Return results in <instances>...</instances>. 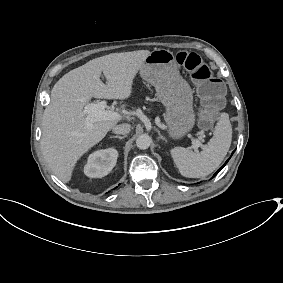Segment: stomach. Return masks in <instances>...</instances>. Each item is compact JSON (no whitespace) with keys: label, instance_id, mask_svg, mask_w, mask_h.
I'll return each mask as SVG.
<instances>
[{"label":"stomach","instance_id":"0dacf381","mask_svg":"<svg viewBox=\"0 0 283 283\" xmlns=\"http://www.w3.org/2000/svg\"><path fill=\"white\" fill-rule=\"evenodd\" d=\"M140 76L155 87L158 100L166 107L169 135L175 139L183 137L195 123L193 91L181 77L173 53L166 49L150 52Z\"/></svg>","mask_w":283,"mask_h":283}]
</instances>
